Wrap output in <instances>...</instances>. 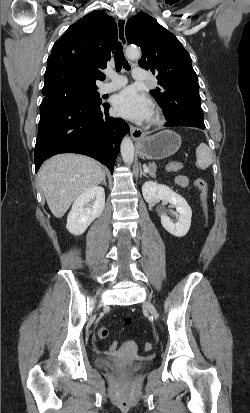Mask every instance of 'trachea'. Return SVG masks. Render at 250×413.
Segmentation results:
<instances>
[{
  "mask_svg": "<svg viewBox=\"0 0 250 413\" xmlns=\"http://www.w3.org/2000/svg\"><path fill=\"white\" fill-rule=\"evenodd\" d=\"M115 68L119 72L123 67L126 70H130V65L128 64L126 58L124 57L123 47L121 43H118L114 54Z\"/></svg>",
  "mask_w": 250,
  "mask_h": 413,
  "instance_id": "3493384b",
  "label": "trachea"
}]
</instances>
